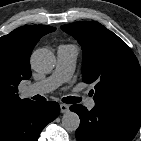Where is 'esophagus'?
<instances>
[{
	"mask_svg": "<svg viewBox=\"0 0 141 141\" xmlns=\"http://www.w3.org/2000/svg\"><path fill=\"white\" fill-rule=\"evenodd\" d=\"M61 113H66L69 111V105L67 104H60Z\"/></svg>",
	"mask_w": 141,
	"mask_h": 141,
	"instance_id": "esophagus-1",
	"label": "esophagus"
}]
</instances>
